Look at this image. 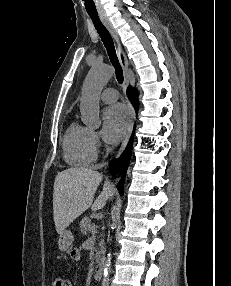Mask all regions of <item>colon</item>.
Wrapping results in <instances>:
<instances>
[{
    "instance_id": "1",
    "label": "colon",
    "mask_w": 231,
    "mask_h": 286,
    "mask_svg": "<svg viewBox=\"0 0 231 286\" xmlns=\"http://www.w3.org/2000/svg\"><path fill=\"white\" fill-rule=\"evenodd\" d=\"M53 286H71V283L64 278H57L54 283Z\"/></svg>"
}]
</instances>
